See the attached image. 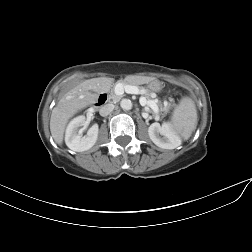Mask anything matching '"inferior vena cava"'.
<instances>
[{
  "label": "inferior vena cava",
  "mask_w": 252,
  "mask_h": 252,
  "mask_svg": "<svg viewBox=\"0 0 252 252\" xmlns=\"http://www.w3.org/2000/svg\"><path fill=\"white\" fill-rule=\"evenodd\" d=\"M114 105L113 104H105L102 106L99 110V114L103 117L109 115L113 110H114Z\"/></svg>",
  "instance_id": "inferior-vena-cava-1"
}]
</instances>
